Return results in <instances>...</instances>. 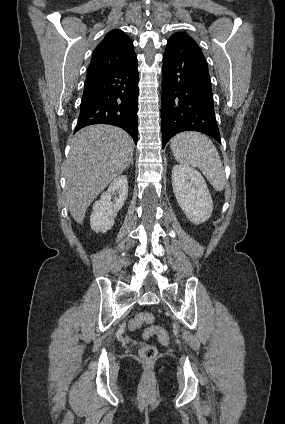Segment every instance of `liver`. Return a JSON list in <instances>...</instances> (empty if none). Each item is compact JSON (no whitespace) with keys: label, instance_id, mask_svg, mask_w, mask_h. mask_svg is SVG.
<instances>
[{"label":"liver","instance_id":"obj_1","mask_svg":"<svg viewBox=\"0 0 285 424\" xmlns=\"http://www.w3.org/2000/svg\"><path fill=\"white\" fill-rule=\"evenodd\" d=\"M134 142L124 130L91 125L71 141L65 169V196L73 219L82 224L89 205L130 164Z\"/></svg>","mask_w":285,"mask_h":424}]
</instances>
